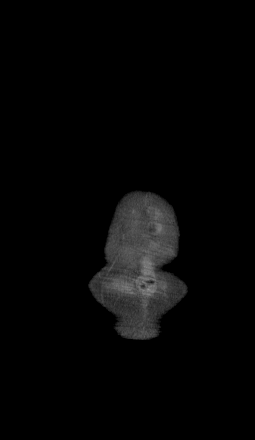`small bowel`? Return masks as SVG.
I'll return each mask as SVG.
<instances>
[{
    "label": "small bowel",
    "instance_id": "small-bowel-1",
    "mask_svg": "<svg viewBox=\"0 0 255 440\" xmlns=\"http://www.w3.org/2000/svg\"><path fill=\"white\" fill-rule=\"evenodd\" d=\"M151 285H152V281H150V280H145V281L142 283V288H143V289H148V288L151 287Z\"/></svg>",
    "mask_w": 255,
    "mask_h": 440
}]
</instances>
